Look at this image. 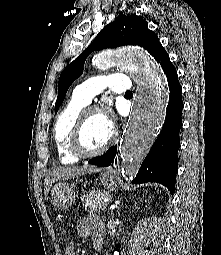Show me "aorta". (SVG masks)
Masks as SVG:
<instances>
[{"mask_svg":"<svg viewBox=\"0 0 221 255\" xmlns=\"http://www.w3.org/2000/svg\"><path fill=\"white\" fill-rule=\"evenodd\" d=\"M92 64L102 70L117 66L129 72L138 83L119 148L121 172L126 179H131L136 175L164 122L168 91L162 72L154 59L138 47L123 48L111 54L99 53L92 58Z\"/></svg>","mask_w":221,"mask_h":255,"instance_id":"aorta-1","label":"aorta"}]
</instances>
